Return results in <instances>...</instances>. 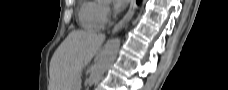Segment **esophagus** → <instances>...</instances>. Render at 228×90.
<instances>
[{
    "label": "esophagus",
    "mask_w": 228,
    "mask_h": 90,
    "mask_svg": "<svg viewBox=\"0 0 228 90\" xmlns=\"http://www.w3.org/2000/svg\"><path fill=\"white\" fill-rule=\"evenodd\" d=\"M136 9V0H131L130 7L124 17L114 26L112 34L122 29L132 18Z\"/></svg>",
    "instance_id": "1"
}]
</instances>
